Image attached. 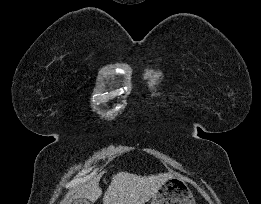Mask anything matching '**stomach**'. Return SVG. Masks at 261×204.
<instances>
[{"label": "stomach", "instance_id": "1", "mask_svg": "<svg viewBox=\"0 0 261 204\" xmlns=\"http://www.w3.org/2000/svg\"><path fill=\"white\" fill-rule=\"evenodd\" d=\"M150 204H196L185 179L173 174L154 194Z\"/></svg>", "mask_w": 261, "mask_h": 204}]
</instances>
